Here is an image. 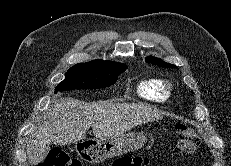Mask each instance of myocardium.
<instances>
[{"label":"myocardium","instance_id":"obj_1","mask_svg":"<svg viewBox=\"0 0 231 166\" xmlns=\"http://www.w3.org/2000/svg\"><path fill=\"white\" fill-rule=\"evenodd\" d=\"M165 91H168L171 88V83L168 80L162 82Z\"/></svg>","mask_w":231,"mask_h":166}]
</instances>
